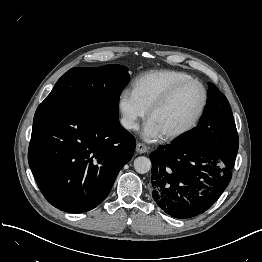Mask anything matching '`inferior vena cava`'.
Returning <instances> with one entry per match:
<instances>
[{"mask_svg": "<svg viewBox=\"0 0 262 262\" xmlns=\"http://www.w3.org/2000/svg\"><path fill=\"white\" fill-rule=\"evenodd\" d=\"M121 124L126 129H138L139 128L138 123H136L135 120L130 117H123L121 119Z\"/></svg>", "mask_w": 262, "mask_h": 262, "instance_id": "1", "label": "inferior vena cava"}]
</instances>
